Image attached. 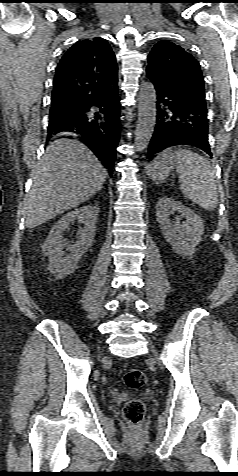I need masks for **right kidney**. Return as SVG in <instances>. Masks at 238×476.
<instances>
[{
	"mask_svg": "<svg viewBox=\"0 0 238 476\" xmlns=\"http://www.w3.org/2000/svg\"><path fill=\"white\" fill-rule=\"evenodd\" d=\"M98 213L99 209L94 205L79 207L61 217L50 230L42 246V251L49 259L50 272L57 279H63L70 275L92 244ZM74 220L82 222L84 227L80 228L77 241L71 245L63 238V233ZM65 247L70 251V254L65 255L63 251Z\"/></svg>",
	"mask_w": 238,
	"mask_h": 476,
	"instance_id": "1",
	"label": "right kidney"
}]
</instances>
